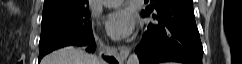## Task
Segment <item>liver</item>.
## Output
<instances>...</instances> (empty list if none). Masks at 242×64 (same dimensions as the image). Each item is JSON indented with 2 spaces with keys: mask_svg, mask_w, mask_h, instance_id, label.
Here are the masks:
<instances>
[{
  "mask_svg": "<svg viewBox=\"0 0 242 64\" xmlns=\"http://www.w3.org/2000/svg\"><path fill=\"white\" fill-rule=\"evenodd\" d=\"M93 55L73 47L59 49L45 56L41 64H102Z\"/></svg>",
  "mask_w": 242,
  "mask_h": 64,
  "instance_id": "6515ba94",
  "label": "liver"
}]
</instances>
